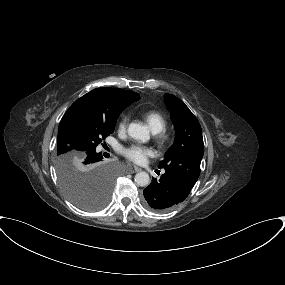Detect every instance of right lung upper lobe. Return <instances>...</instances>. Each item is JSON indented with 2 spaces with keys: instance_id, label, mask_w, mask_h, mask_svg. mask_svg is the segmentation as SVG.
<instances>
[{
  "instance_id": "obj_1",
  "label": "right lung upper lobe",
  "mask_w": 285,
  "mask_h": 285,
  "mask_svg": "<svg viewBox=\"0 0 285 285\" xmlns=\"http://www.w3.org/2000/svg\"><path fill=\"white\" fill-rule=\"evenodd\" d=\"M139 94L120 88H97L76 100L63 116L59 128L70 116L79 113H96L103 117H112L119 104L125 101L139 100Z\"/></svg>"
}]
</instances>
